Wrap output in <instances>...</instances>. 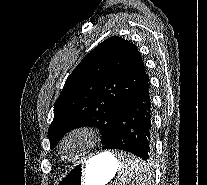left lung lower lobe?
<instances>
[{"label": "left lung lower lobe", "mask_w": 207, "mask_h": 185, "mask_svg": "<svg viewBox=\"0 0 207 185\" xmlns=\"http://www.w3.org/2000/svg\"><path fill=\"white\" fill-rule=\"evenodd\" d=\"M149 81L120 109L102 150L118 149L147 160L153 153Z\"/></svg>", "instance_id": "left-lung-lower-lobe-1"}]
</instances>
